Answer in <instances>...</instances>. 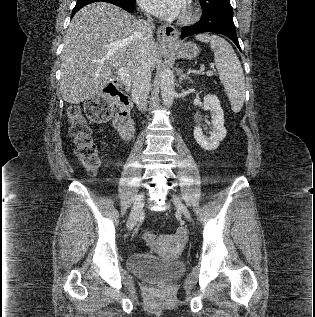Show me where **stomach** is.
Masks as SVG:
<instances>
[{
    "mask_svg": "<svg viewBox=\"0 0 315 317\" xmlns=\"http://www.w3.org/2000/svg\"><path fill=\"white\" fill-rule=\"evenodd\" d=\"M174 50L178 58L193 59L199 54V47L192 42H175L168 43Z\"/></svg>",
    "mask_w": 315,
    "mask_h": 317,
    "instance_id": "obj_1",
    "label": "stomach"
}]
</instances>
